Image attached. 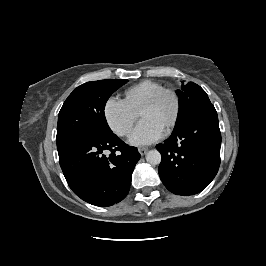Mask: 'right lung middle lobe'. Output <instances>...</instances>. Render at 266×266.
Segmentation results:
<instances>
[{"label": "right lung middle lobe", "mask_w": 266, "mask_h": 266, "mask_svg": "<svg viewBox=\"0 0 266 266\" xmlns=\"http://www.w3.org/2000/svg\"><path fill=\"white\" fill-rule=\"evenodd\" d=\"M128 80H99L78 86L64 102L58 116L57 150L111 132L104 108L113 92Z\"/></svg>", "instance_id": "right-lung-middle-lobe-1"}]
</instances>
